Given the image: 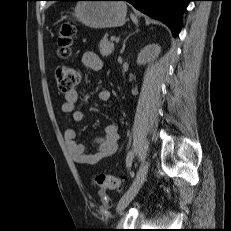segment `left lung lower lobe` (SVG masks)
I'll use <instances>...</instances> for the list:
<instances>
[{"label":"left lung lower lobe","mask_w":231,"mask_h":231,"mask_svg":"<svg viewBox=\"0 0 231 231\" xmlns=\"http://www.w3.org/2000/svg\"><path fill=\"white\" fill-rule=\"evenodd\" d=\"M77 1V0H62ZM132 4L144 14L165 23L176 36L181 28L182 10L191 0H121Z\"/></svg>","instance_id":"0a47b994"}]
</instances>
